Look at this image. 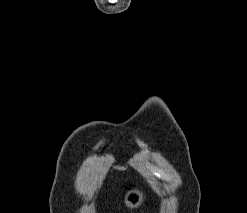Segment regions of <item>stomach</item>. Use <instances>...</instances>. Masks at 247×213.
I'll return each mask as SVG.
<instances>
[{
	"instance_id": "stomach-1",
	"label": "stomach",
	"mask_w": 247,
	"mask_h": 213,
	"mask_svg": "<svg viewBox=\"0 0 247 213\" xmlns=\"http://www.w3.org/2000/svg\"><path fill=\"white\" fill-rule=\"evenodd\" d=\"M143 192L138 188L128 191L124 198V205L128 209L138 208L143 202Z\"/></svg>"
}]
</instances>
